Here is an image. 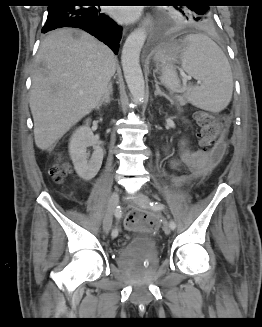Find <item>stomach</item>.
<instances>
[{
  "instance_id": "obj_1",
  "label": "stomach",
  "mask_w": 262,
  "mask_h": 327,
  "mask_svg": "<svg viewBox=\"0 0 262 327\" xmlns=\"http://www.w3.org/2000/svg\"><path fill=\"white\" fill-rule=\"evenodd\" d=\"M181 51V46L178 43H174V45H166L163 49H161L162 55L158 58L159 62L163 64L166 63V59L175 58Z\"/></svg>"
}]
</instances>
